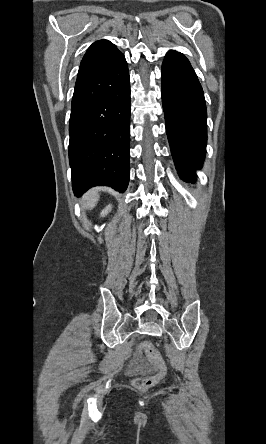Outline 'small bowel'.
<instances>
[{
    "instance_id": "small-bowel-1",
    "label": "small bowel",
    "mask_w": 266,
    "mask_h": 444,
    "mask_svg": "<svg viewBox=\"0 0 266 444\" xmlns=\"http://www.w3.org/2000/svg\"><path fill=\"white\" fill-rule=\"evenodd\" d=\"M144 371H145V366L143 359L140 354H136L129 365L128 373L131 375H136L143 373Z\"/></svg>"
}]
</instances>
